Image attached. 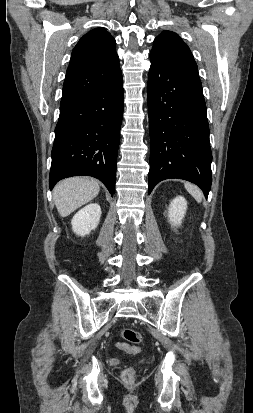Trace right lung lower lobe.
<instances>
[{"instance_id":"1","label":"right lung lower lobe","mask_w":253,"mask_h":413,"mask_svg":"<svg viewBox=\"0 0 253 413\" xmlns=\"http://www.w3.org/2000/svg\"><path fill=\"white\" fill-rule=\"evenodd\" d=\"M123 99L120 71L92 93L60 104L51 153L50 189L63 178L88 175L101 180L114 194Z\"/></svg>"}]
</instances>
